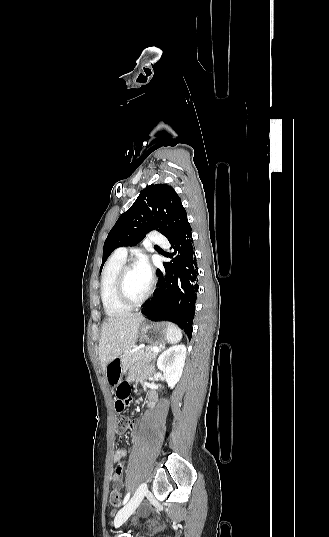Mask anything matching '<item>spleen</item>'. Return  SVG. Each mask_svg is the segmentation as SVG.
Returning <instances> with one entry per match:
<instances>
[{"instance_id": "spleen-1", "label": "spleen", "mask_w": 329, "mask_h": 537, "mask_svg": "<svg viewBox=\"0 0 329 537\" xmlns=\"http://www.w3.org/2000/svg\"><path fill=\"white\" fill-rule=\"evenodd\" d=\"M182 339V331L178 326L169 323L167 341L170 344L178 343Z\"/></svg>"}]
</instances>
